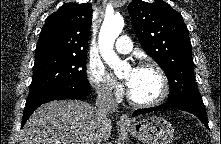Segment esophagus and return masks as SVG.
<instances>
[{"instance_id":"obj_1","label":"esophagus","mask_w":221,"mask_h":144,"mask_svg":"<svg viewBox=\"0 0 221 144\" xmlns=\"http://www.w3.org/2000/svg\"><path fill=\"white\" fill-rule=\"evenodd\" d=\"M119 122L122 124V125H129L131 123V120L130 118L128 117L127 114H122L120 116V120Z\"/></svg>"}]
</instances>
